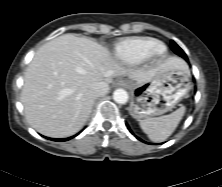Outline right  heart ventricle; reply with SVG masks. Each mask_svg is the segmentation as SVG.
<instances>
[{
	"label": "right heart ventricle",
	"mask_w": 222,
	"mask_h": 187,
	"mask_svg": "<svg viewBox=\"0 0 222 187\" xmlns=\"http://www.w3.org/2000/svg\"><path fill=\"white\" fill-rule=\"evenodd\" d=\"M157 43L150 37H132L118 41L114 46V56L122 63L134 65L146 60L149 51Z\"/></svg>",
	"instance_id": "e07e8e85"
}]
</instances>
